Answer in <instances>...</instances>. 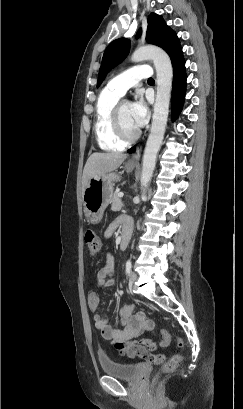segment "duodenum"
<instances>
[{"instance_id": "duodenum-1", "label": "duodenum", "mask_w": 243, "mask_h": 409, "mask_svg": "<svg viewBox=\"0 0 243 409\" xmlns=\"http://www.w3.org/2000/svg\"><path fill=\"white\" fill-rule=\"evenodd\" d=\"M131 230L126 229L122 232L121 239H120V249L124 250L129 242Z\"/></svg>"}]
</instances>
